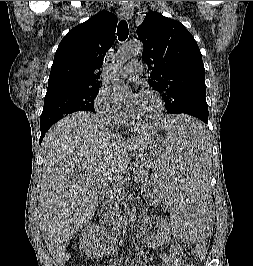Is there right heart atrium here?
Segmentation results:
<instances>
[{
    "label": "right heart atrium",
    "instance_id": "d8ad5b80",
    "mask_svg": "<svg viewBox=\"0 0 253 266\" xmlns=\"http://www.w3.org/2000/svg\"><path fill=\"white\" fill-rule=\"evenodd\" d=\"M93 105L97 114L107 124L121 125L126 121L125 112L106 87H101L98 90Z\"/></svg>",
    "mask_w": 253,
    "mask_h": 266
}]
</instances>
